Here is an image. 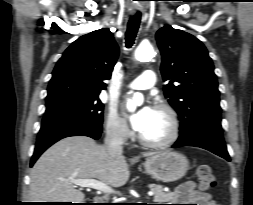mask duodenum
I'll return each mask as SVG.
<instances>
[{
	"label": "duodenum",
	"instance_id": "1",
	"mask_svg": "<svg viewBox=\"0 0 253 205\" xmlns=\"http://www.w3.org/2000/svg\"><path fill=\"white\" fill-rule=\"evenodd\" d=\"M93 201H94L95 203H97V204H100V203L102 202V199L99 198V197H95V198H93Z\"/></svg>",
	"mask_w": 253,
	"mask_h": 205
}]
</instances>
